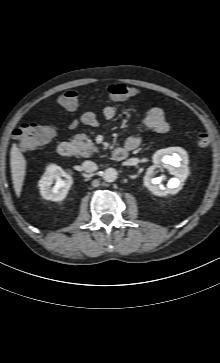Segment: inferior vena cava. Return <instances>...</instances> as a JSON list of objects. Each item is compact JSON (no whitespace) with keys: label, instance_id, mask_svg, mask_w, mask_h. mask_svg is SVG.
<instances>
[{"label":"inferior vena cava","instance_id":"obj_1","mask_svg":"<svg viewBox=\"0 0 220 363\" xmlns=\"http://www.w3.org/2000/svg\"><path fill=\"white\" fill-rule=\"evenodd\" d=\"M82 169L85 171V172H88V173H92L94 171H96L98 169V166L96 163L92 162V161H89V160H86L82 163Z\"/></svg>","mask_w":220,"mask_h":363}]
</instances>
